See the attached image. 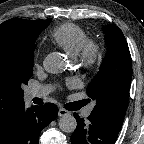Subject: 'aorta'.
Returning a JSON list of instances; mask_svg holds the SVG:
<instances>
[{
	"instance_id": "obj_1",
	"label": "aorta",
	"mask_w": 144,
	"mask_h": 144,
	"mask_svg": "<svg viewBox=\"0 0 144 144\" xmlns=\"http://www.w3.org/2000/svg\"><path fill=\"white\" fill-rule=\"evenodd\" d=\"M44 69L52 74L61 73L65 70V62L58 52L48 54L43 61ZM77 127V121L71 114H65L59 119V128L66 133H72Z\"/></svg>"
}]
</instances>
